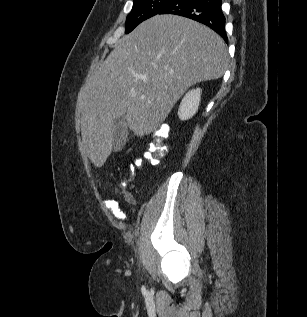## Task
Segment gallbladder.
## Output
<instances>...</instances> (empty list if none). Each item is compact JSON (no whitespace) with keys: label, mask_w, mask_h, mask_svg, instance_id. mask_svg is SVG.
Instances as JSON below:
<instances>
[{"label":"gallbladder","mask_w":307,"mask_h":317,"mask_svg":"<svg viewBox=\"0 0 307 317\" xmlns=\"http://www.w3.org/2000/svg\"><path fill=\"white\" fill-rule=\"evenodd\" d=\"M127 127L125 115L114 121L112 128V146L114 151H119L125 145L128 136Z\"/></svg>","instance_id":"obj_1"}]
</instances>
